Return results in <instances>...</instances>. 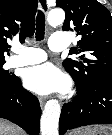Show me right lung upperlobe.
Listing matches in <instances>:
<instances>
[{
	"label": "right lung upper lobe",
	"instance_id": "1",
	"mask_svg": "<svg viewBox=\"0 0 112 135\" xmlns=\"http://www.w3.org/2000/svg\"><path fill=\"white\" fill-rule=\"evenodd\" d=\"M36 9L37 0H0V61H5L13 36L24 41L34 34Z\"/></svg>",
	"mask_w": 112,
	"mask_h": 135
}]
</instances>
